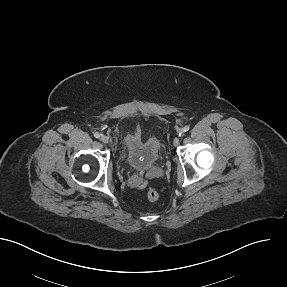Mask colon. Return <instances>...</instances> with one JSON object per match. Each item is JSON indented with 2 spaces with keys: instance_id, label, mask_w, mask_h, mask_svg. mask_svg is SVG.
<instances>
[{
  "instance_id": "1",
  "label": "colon",
  "mask_w": 287,
  "mask_h": 287,
  "mask_svg": "<svg viewBox=\"0 0 287 287\" xmlns=\"http://www.w3.org/2000/svg\"><path fill=\"white\" fill-rule=\"evenodd\" d=\"M158 197H159V194L155 189L150 188L147 190V192H146L147 200L156 201L158 199Z\"/></svg>"
}]
</instances>
